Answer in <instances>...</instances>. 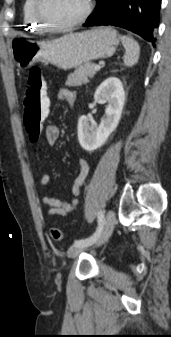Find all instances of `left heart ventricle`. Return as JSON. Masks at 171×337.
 Returning <instances> with one entry per match:
<instances>
[{
  "label": "left heart ventricle",
  "instance_id": "b2bd125f",
  "mask_svg": "<svg viewBox=\"0 0 171 337\" xmlns=\"http://www.w3.org/2000/svg\"><path fill=\"white\" fill-rule=\"evenodd\" d=\"M85 8V0H45L44 13L54 23L76 19Z\"/></svg>",
  "mask_w": 171,
  "mask_h": 337
}]
</instances>
